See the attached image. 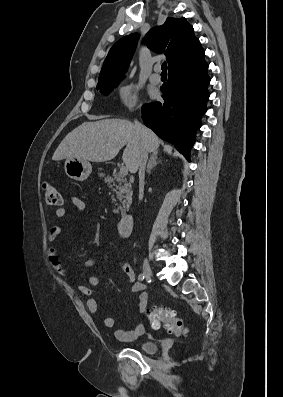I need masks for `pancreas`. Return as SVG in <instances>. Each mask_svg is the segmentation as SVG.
<instances>
[{
    "mask_svg": "<svg viewBox=\"0 0 283 397\" xmlns=\"http://www.w3.org/2000/svg\"><path fill=\"white\" fill-rule=\"evenodd\" d=\"M106 182L110 185L109 187L116 193L118 200L122 203L118 209L114 210L115 213L123 211L125 208L129 207L132 201V191L130 183H127V180L124 176L118 174H114L113 177H107Z\"/></svg>",
    "mask_w": 283,
    "mask_h": 397,
    "instance_id": "pancreas-1",
    "label": "pancreas"
}]
</instances>
